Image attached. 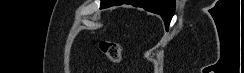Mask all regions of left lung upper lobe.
<instances>
[{"label":"left lung upper lobe","mask_w":244,"mask_h":73,"mask_svg":"<svg viewBox=\"0 0 244 73\" xmlns=\"http://www.w3.org/2000/svg\"><path fill=\"white\" fill-rule=\"evenodd\" d=\"M105 2H106V0H102V1H101L100 8H106V6H104V5H105Z\"/></svg>","instance_id":"5c2ea615"}]
</instances>
